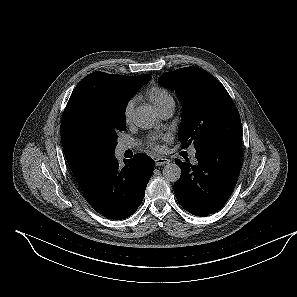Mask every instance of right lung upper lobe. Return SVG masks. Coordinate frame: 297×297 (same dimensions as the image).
<instances>
[{
    "label": "right lung upper lobe",
    "instance_id": "obj_1",
    "mask_svg": "<svg viewBox=\"0 0 297 297\" xmlns=\"http://www.w3.org/2000/svg\"><path fill=\"white\" fill-rule=\"evenodd\" d=\"M150 79V74L125 76L94 72L74 89L63 112L61 141L66 160L81 189L105 163L95 160L81 146L78 127L83 117L89 113H115L126 108L131 97Z\"/></svg>",
    "mask_w": 297,
    "mask_h": 297
}]
</instances>
